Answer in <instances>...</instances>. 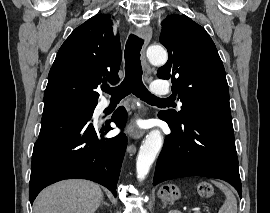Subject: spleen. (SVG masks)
<instances>
[{
  "instance_id": "obj_1",
  "label": "spleen",
  "mask_w": 270,
  "mask_h": 213,
  "mask_svg": "<svg viewBox=\"0 0 270 213\" xmlns=\"http://www.w3.org/2000/svg\"><path fill=\"white\" fill-rule=\"evenodd\" d=\"M226 196L224 204L218 213H237V201L233 193L222 183L212 181Z\"/></svg>"
}]
</instances>
